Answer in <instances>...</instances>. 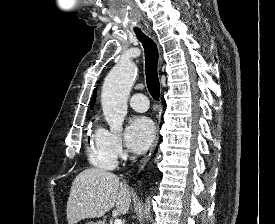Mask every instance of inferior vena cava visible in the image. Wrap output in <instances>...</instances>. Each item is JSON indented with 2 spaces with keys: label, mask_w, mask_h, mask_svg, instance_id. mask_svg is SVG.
<instances>
[{
  "label": "inferior vena cava",
  "mask_w": 275,
  "mask_h": 224,
  "mask_svg": "<svg viewBox=\"0 0 275 224\" xmlns=\"http://www.w3.org/2000/svg\"><path fill=\"white\" fill-rule=\"evenodd\" d=\"M132 160H135V157H132Z\"/></svg>",
  "instance_id": "inferior-vena-cava-1"
}]
</instances>
